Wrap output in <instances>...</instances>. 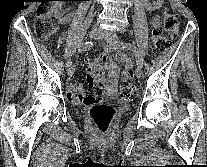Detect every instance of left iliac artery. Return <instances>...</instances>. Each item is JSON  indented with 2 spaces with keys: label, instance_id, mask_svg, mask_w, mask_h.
Returning a JSON list of instances; mask_svg holds the SVG:
<instances>
[{
  "label": "left iliac artery",
  "instance_id": "obj_1",
  "mask_svg": "<svg viewBox=\"0 0 207 167\" xmlns=\"http://www.w3.org/2000/svg\"><path fill=\"white\" fill-rule=\"evenodd\" d=\"M117 46L132 50L133 53L135 54L137 65L140 67H143V58H142L140 51L138 50L136 46H133L130 43L123 44L120 42L117 44Z\"/></svg>",
  "mask_w": 207,
  "mask_h": 167
}]
</instances>
